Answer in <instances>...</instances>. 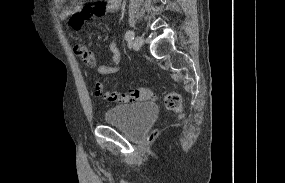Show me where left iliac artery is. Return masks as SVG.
<instances>
[{
	"mask_svg": "<svg viewBox=\"0 0 285 183\" xmlns=\"http://www.w3.org/2000/svg\"><path fill=\"white\" fill-rule=\"evenodd\" d=\"M125 39L128 42H131L132 40H134V32L132 30H128L125 34Z\"/></svg>",
	"mask_w": 285,
	"mask_h": 183,
	"instance_id": "44dca946",
	"label": "left iliac artery"
}]
</instances>
